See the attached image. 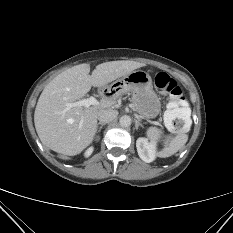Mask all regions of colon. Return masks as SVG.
<instances>
[{"label":"colon","mask_w":233,"mask_h":233,"mask_svg":"<svg viewBox=\"0 0 233 233\" xmlns=\"http://www.w3.org/2000/svg\"><path fill=\"white\" fill-rule=\"evenodd\" d=\"M154 84L157 91L171 96L164 115L166 126L173 133L187 130L191 122V109L178 83L168 74L160 72L155 76Z\"/></svg>","instance_id":"1"}]
</instances>
